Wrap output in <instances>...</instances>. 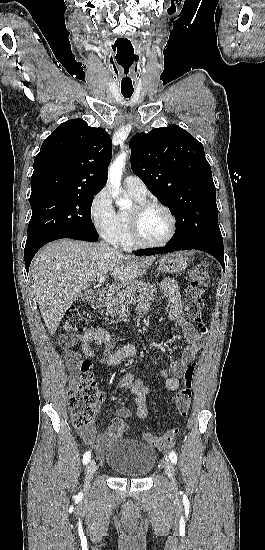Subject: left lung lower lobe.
I'll use <instances>...</instances> for the list:
<instances>
[{"label":"left lung lower lobe","mask_w":265,"mask_h":550,"mask_svg":"<svg viewBox=\"0 0 265 550\" xmlns=\"http://www.w3.org/2000/svg\"><path fill=\"white\" fill-rule=\"evenodd\" d=\"M191 249L202 250V251H205V252L213 255L220 262L221 266L223 267V270H225L224 252H219V251H215V250H211V249L203 248V247L180 246V245H174V244L169 243L163 248L143 250L139 253H136L135 255H151V254H155V253H157V254L158 253H169V252L178 251V250H191Z\"/></svg>","instance_id":"1"}]
</instances>
